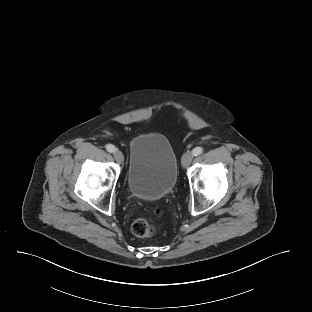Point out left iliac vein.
I'll list each match as a JSON object with an SVG mask.
<instances>
[{
	"label": "left iliac vein",
	"mask_w": 312,
	"mask_h": 312,
	"mask_svg": "<svg viewBox=\"0 0 312 312\" xmlns=\"http://www.w3.org/2000/svg\"><path fill=\"white\" fill-rule=\"evenodd\" d=\"M192 159H193V153L192 152H186L183 157H182V160H181V163H182V166L184 168L188 167L191 162H192Z\"/></svg>",
	"instance_id": "obj_1"
}]
</instances>
